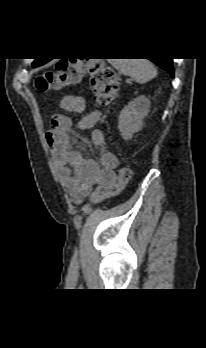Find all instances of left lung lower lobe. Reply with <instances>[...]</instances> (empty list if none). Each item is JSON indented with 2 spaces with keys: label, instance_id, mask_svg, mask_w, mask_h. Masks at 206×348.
<instances>
[{
  "label": "left lung lower lobe",
  "instance_id": "left-lung-lower-lobe-1",
  "mask_svg": "<svg viewBox=\"0 0 206 348\" xmlns=\"http://www.w3.org/2000/svg\"><path fill=\"white\" fill-rule=\"evenodd\" d=\"M154 62L156 65L167 71L172 77L174 76V69L172 65V58H157L149 59Z\"/></svg>",
  "mask_w": 206,
  "mask_h": 348
}]
</instances>
